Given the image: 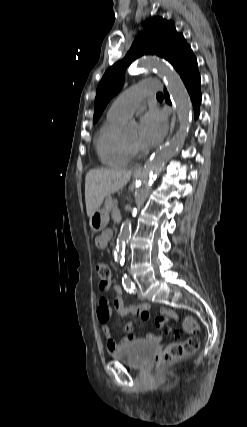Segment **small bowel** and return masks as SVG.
Listing matches in <instances>:
<instances>
[{
    "mask_svg": "<svg viewBox=\"0 0 247 427\" xmlns=\"http://www.w3.org/2000/svg\"><path fill=\"white\" fill-rule=\"evenodd\" d=\"M112 231L106 230L104 231L100 236L96 239V245L99 248H105L107 243L112 238ZM113 290L116 294V297L114 298L112 304L116 312L122 316H140V318L144 321H147L150 319V306L147 303H142L139 305H125L122 300V293L123 290L121 286L114 285ZM112 313V307L110 305V302L107 298L102 297L99 300V306L97 308V317L99 322L102 325V332L104 337L107 340V347L111 352L117 351L121 349L122 347L126 346L129 342L135 339V335L133 333V326L134 322L130 321L128 322L124 327V338L120 341H116L111 333V329L108 325V320L110 318V315ZM168 318L177 319V314L170 309H162L160 312L159 317L156 319V326L159 330H161L164 326V324L167 322ZM150 340H157L159 339L158 336L149 335L147 337Z\"/></svg>",
    "mask_w": 247,
    "mask_h": 427,
    "instance_id": "small-bowel-1",
    "label": "small bowel"
}]
</instances>
